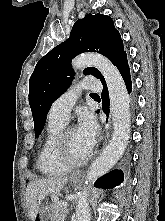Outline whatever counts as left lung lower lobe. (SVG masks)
<instances>
[{"mask_svg":"<svg viewBox=\"0 0 165 221\" xmlns=\"http://www.w3.org/2000/svg\"><path fill=\"white\" fill-rule=\"evenodd\" d=\"M117 68L120 71L125 85L127 87V90L129 91V93L132 91V82H131V76H130V69H129V65H128V61H127V55H125L117 64ZM103 84V91L101 94V98H102V108L103 111L105 112L106 115L109 114V94H108V89L106 86V82H102ZM124 179V174L122 172V170H113L107 174H105L104 176H102L101 178H99L96 183L95 186L96 187H103V188H113L117 185H120L123 182Z\"/></svg>","mask_w":165,"mask_h":221,"instance_id":"obj_1","label":"left lung lower lobe"}]
</instances>
